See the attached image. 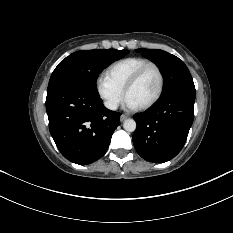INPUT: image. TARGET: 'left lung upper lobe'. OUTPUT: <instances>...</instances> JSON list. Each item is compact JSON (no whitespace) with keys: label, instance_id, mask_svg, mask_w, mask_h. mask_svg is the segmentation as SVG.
Segmentation results:
<instances>
[{"label":"left lung upper lobe","instance_id":"obj_1","mask_svg":"<svg viewBox=\"0 0 233 233\" xmlns=\"http://www.w3.org/2000/svg\"><path fill=\"white\" fill-rule=\"evenodd\" d=\"M143 56L155 62L164 77L162 97L177 91L195 92L192 76L182 60L159 49H138Z\"/></svg>","mask_w":233,"mask_h":233}]
</instances>
